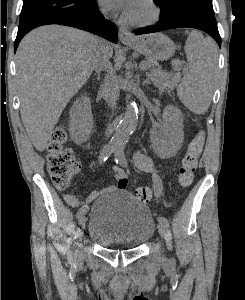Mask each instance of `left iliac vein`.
<instances>
[{"mask_svg": "<svg viewBox=\"0 0 245 300\" xmlns=\"http://www.w3.org/2000/svg\"><path fill=\"white\" fill-rule=\"evenodd\" d=\"M158 231H159V234L161 235V237L164 238L166 235V226L164 223H162L160 221L158 223Z\"/></svg>", "mask_w": 245, "mask_h": 300, "instance_id": "4c4485c4", "label": "left iliac vein"}]
</instances>
